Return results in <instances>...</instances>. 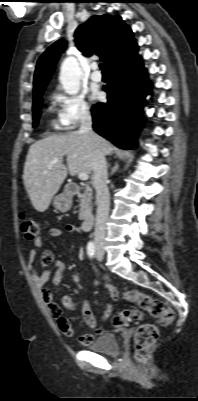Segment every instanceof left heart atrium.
Instances as JSON below:
<instances>
[{
  "instance_id": "left-heart-atrium-1",
  "label": "left heart atrium",
  "mask_w": 198,
  "mask_h": 401,
  "mask_svg": "<svg viewBox=\"0 0 198 401\" xmlns=\"http://www.w3.org/2000/svg\"><path fill=\"white\" fill-rule=\"evenodd\" d=\"M100 97H101V93H100L99 91H95V92L92 94V99H93V100H98V99H100Z\"/></svg>"
}]
</instances>
